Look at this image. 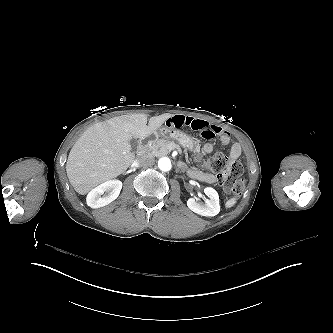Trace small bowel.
I'll use <instances>...</instances> for the list:
<instances>
[{
  "mask_svg": "<svg viewBox=\"0 0 333 333\" xmlns=\"http://www.w3.org/2000/svg\"><path fill=\"white\" fill-rule=\"evenodd\" d=\"M166 126L169 129L186 127L194 131H198V134L204 138L219 137L220 143L222 145H227L230 143V135L226 131H223L222 128L218 125L209 123L208 121L201 119L195 116L177 114L169 117L166 120ZM214 147L211 143H207L203 147V151L207 154L212 153ZM242 153V148L239 143H233L230 152L229 158L231 161H236ZM189 175L197 180L204 181L207 183H214L216 178L212 174L204 173L200 170H191Z\"/></svg>",
  "mask_w": 333,
  "mask_h": 333,
  "instance_id": "c3829d8e",
  "label": "small bowel"
}]
</instances>
